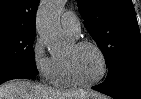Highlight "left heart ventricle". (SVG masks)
Masks as SVG:
<instances>
[{
    "mask_svg": "<svg viewBox=\"0 0 141 99\" xmlns=\"http://www.w3.org/2000/svg\"><path fill=\"white\" fill-rule=\"evenodd\" d=\"M65 59H69L74 67L77 76L84 81H92L98 78L102 72V61L91 47L78 48L72 46Z\"/></svg>",
    "mask_w": 141,
    "mask_h": 99,
    "instance_id": "left-heart-ventricle-1",
    "label": "left heart ventricle"
}]
</instances>
